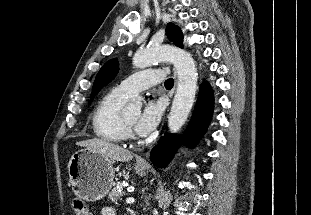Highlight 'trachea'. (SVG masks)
<instances>
[{"instance_id":"3493384b","label":"trachea","mask_w":311,"mask_h":215,"mask_svg":"<svg viewBox=\"0 0 311 215\" xmlns=\"http://www.w3.org/2000/svg\"><path fill=\"white\" fill-rule=\"evenodd\" d=\"M174 85V80L172 78H169L165 81V87L166 88H172Z\"/></svg>"}]
</instances>
